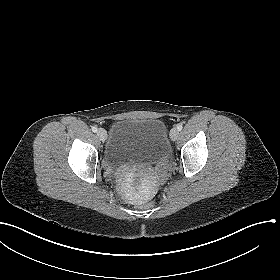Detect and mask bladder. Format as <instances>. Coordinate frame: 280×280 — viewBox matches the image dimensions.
Instances as JSON below:
<instances>
[{"mask_svg": "<svg viewBox=\"0 0 280 280\" xmlns=\"http://www.w3.org/2000/svg\"><path fill=\"white\" fill-rule=\"evenodd\" d=\"M169 152L167 128L161 119L129 117L113 123L104 156L113 162L152 164L163 161Z\"/></svg>", "mask_w": 280, "mask_h": 280, "instance_id": "bladder-1", "label": "bladder"}]
</instances>
